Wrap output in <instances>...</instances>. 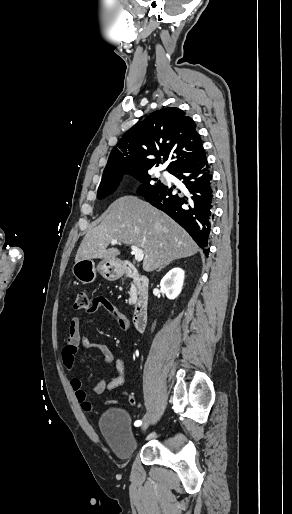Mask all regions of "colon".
Listing matches in <instances>:
<instances>
[{"instance_id": "colon-1", "label": "colon", "mask_w": 292, "mask_h": 514, "mask_svg": "<svg viewBox=\"0 0 292 514\" xmlns=\"http://www.w3.org/2000/svg\"><path fill=\"white\" fill-rule=\"evenodd\" d=\"M91 308L89 302V295L86 291H80L76 295V301L74 305V310L83 311L89 310Z\"/></svg>"}]
</instances>
